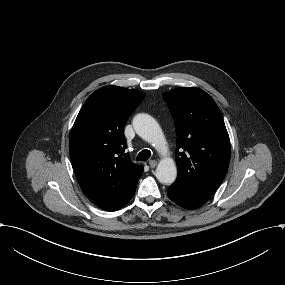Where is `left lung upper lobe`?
I'll list each match as a JSON object with an SVG mask.
<instances>
[{
	"label": "left lung upper lobe",
	"mask_w": 285,
	"mask_h": 285,
	"mask_svg": "<svg viewBox=\"0 0 285 285\" xmlns=\"http://www.w3.org/2000/svg\"><path fill=\"white\" fill-rule=\"evenodd\" d=\"M177 134L175 183L209 198L220 186L230 161V140L214 100L199 88H177L163 94Z\"/></svg>",
	"instance_id": "1"
}]
</instances>
